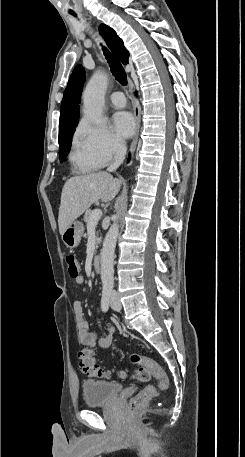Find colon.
Instances as JSON below:
<instances>
[{"mask_svg": "<svg viewBox=\"0 0 245 457\" xmlns=\"http://www.w3.org/2000/svg\"><path fill=\"white\" fill-rule=\"evenodd\" d=\"M66 263L70 277L76 278L79 276V265L76 257L72 254L66 256ZM80 367L82 371L96 378H108L110 373L102 369L95 358L94 350L90 347H85L79 352ZM131 361L139 365V369L133 374V378L138 381H147L151 375L157 380V385L160 389H166L169 385V379L163 368L152 358L134 354L131 356ZM121 377H126L125 372L120 373ZM156 396V388L148 385L141 389L130 401L129 406L132 410L147 405Z\"/></svg>", "mask_w": 245, "mask_h": 457, "instance_id": "1", "label": "colon"}]
</instances>
